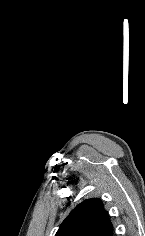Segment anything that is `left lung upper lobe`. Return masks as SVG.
Segmentation results:
<instances>
[{
	"instance_id": "5c2ea615",
	"label": "left lung upper lobe",
	"mask_w": 145,
	"mask_h": 236,
	"mask_svg": "<svg viewBox=\"0 0 145 236\" xmlns=\"http://www.w3.org/2000/svg\"><path fill=\"white\" fill-rule=\"evenodd\" d=\"M55 236H113V226L101 200L91 198L70 212Z\"/></svg>"
}]
</instances>
